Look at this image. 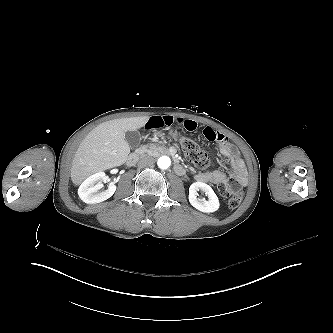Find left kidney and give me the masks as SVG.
I'll return each mask as SVG.
<instances>
[{
  "label": "left kidney",
  "mask_w": 333,
  "mask_h": 333,
  "mask_svg": "<svg viewBox=\"0 0 333 333\" xmlns=\"http://www.w3.org/2000/svg\"><path fill=\"white\" fill-rule=\"evenodd\" d=\"M199 190L204 191L209 199L204 201L199 200L196 195ZM188 200L195 209L204 213H213L220 208V202L217 195L213 189L204 182H194L191 184Z\"/></svg>",
  "instance_id": "obj_1"
}]
</instances>
